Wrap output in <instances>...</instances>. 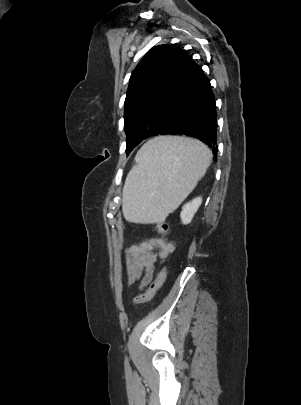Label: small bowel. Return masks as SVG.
I'll return each mask as SVG.
<instances>
[{"instance_id": "small-bowel-1", "label": "small bowel", "mask_w": 301, "mask_h": 405, "mask_svg": "<svg viewBox=\"0 0 301 405\" xmlns=\"http://www.w3.org/2000/svg\"><path fill=\"white\" fill-rule=\"evenodd\" d=\"M174 250V245L164 238H150L130 246L126 252L128 267L127 284L138 282L140 288L147 286L154 274L158 258L168 257Z\"/></svg>"}]
</instances>
